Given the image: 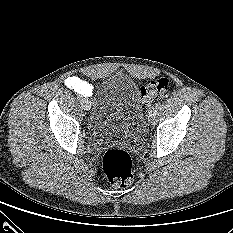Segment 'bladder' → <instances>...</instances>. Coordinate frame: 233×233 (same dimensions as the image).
Here are the masks:
<instances>
[{"instance_id": "bladder-1", "label": "bladder", "mask_w": 233, "mask_h": 233, "mask_svg": "<svg viewBox=\"0 0 233 233\" xmlns=\"http://www.w3.org/2000/svg\"><path fill=\"white\" fill-rule=\"evenodd\" d=\"M89 128L99 145H137L145 132L138 85L125 74H115L99 88Z\"/></svg>"}]
</instances>
